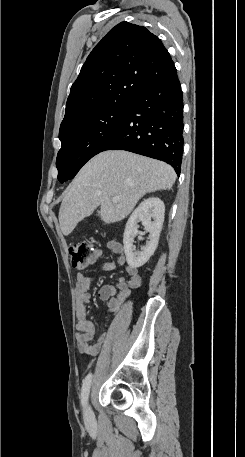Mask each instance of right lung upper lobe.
Masks as SVG:
<instances>
[{"label":"right lung upper lobe","instance_id":"right-lung-upper-lobe-1","mask_svg":"<svg viewBox=\"0 0 245 457\" xmlns=\"http://www.w3.org/2000/svg\"><path fill=\"white\" fill-rule=\"evenodd\" d=\"M175 72L170 54L156 35L143 26L121 22L82 66L62 123L114 101H132L147 84Z\"/></svg>","mask_w":245,"mask_h":457}]
</instances>
